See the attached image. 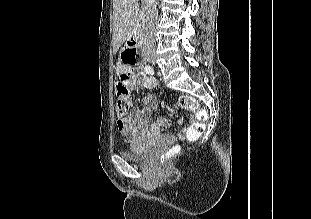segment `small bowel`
I'll return each mask as SVG.
<instances>
[{
	"label": "small bowel",
	"mask_w": 311,
	"mask_h": 219,
	"mask_svg": "<svg viewBox=\"0 0 311 219\" xmlns=\"http://www.w3.org/2000/svg\"><path fill=\"white\" fill-rule=\"evenodd\" d=\"M116 72L119 76L125 75L131 90L138 86L153 88L157 81L152 76L145 74L139 67H130L117 64ZM142 107L131 108L126 119L117 120V128L129 143L144 142L166 134L169 122L166 118L158 117L150 123L151 110L157 108L156 96L147 94L143 97Z\"/></svg>",
	"instance_id": "1"
}]
</instances>
